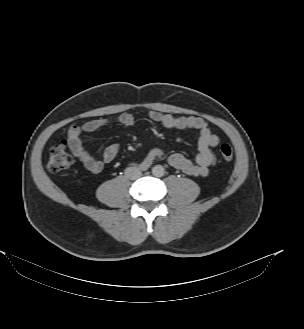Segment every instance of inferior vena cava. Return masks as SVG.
Returning a JSON list of instances; mask_svg holds the SVG:
<instances>
[{
  "mask_svg": "<svg viewBox=\"0 0 304 329\" xmlns=\"http://www.w3.org/2000/svg\"><path fill=\"white\" fill-rule=\"evenodd\" d=\"M125 175L130 180H136L141 177L142 173L137 167H128L125 170Z\"/></svg>",
  "mask_w": 304,
  "mask_h": 329,
  "instance_id": "1",
  "label": "inferior vena cava"
}]
</instances>
